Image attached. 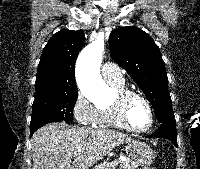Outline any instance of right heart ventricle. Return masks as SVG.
<instances>
[{
  "mask_svg": "<svg viewBox=\"0 0 200 169\" xmlns=\"http://www.w3.org/2000/svg\"><path fill=\"white\" fill-rule=\"evenodd\" d=\"M110 85L118 92L127 89L124 81L121 83H110ZM96 126L103 128L126 129L118 117L115 104L99 109Z\"/></svg>",
  "mask_w": 200,
  "mask_h": 169,
  "instance_id": "1",
  "label": "right heart ventricle"
}]
</instances>
